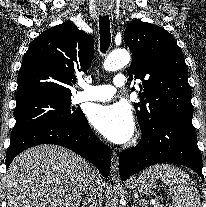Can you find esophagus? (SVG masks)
Here are the masks:
<instances>
[{
  "instance_id": "1",
  "label": "esophagus",
  "mask_w": 206,
  "mask_h": 207,
  "mask_svg": "<svg viewBox=\"0 0 206 207\" xmlns=\"http://www.w3.org/2000/svg\"><path fill=\"white\" fill-rule=\"evenodd\" d=\"M102 14L106 15L107 12L102 11ZM111 169H112L113 173L115 175H117L118 169H119V158H118L117 152H115V151L112 152V156H111Z\"/></svg>"
}]
</instances>
